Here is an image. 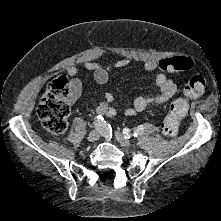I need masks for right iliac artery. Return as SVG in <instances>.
<instances>
[{
  "mask_svg": "<svg viewBox=\"0 0 221 221\" xmlns=\"http://www.w3.org/2000/svg\"><path fill=\"white\" fill-rule=\"evenodd\" d=\"M95 126L96 128L102 130V131H107L109 129V124H106V122L104 121V118L102 116H97L96 120H95Z\"/></svg>",
  "mask_w": 221,
  "mask_h": 221,
  "instance_id": "82829eb1",
  "label": "right iliac artery"
}]
</instances>
